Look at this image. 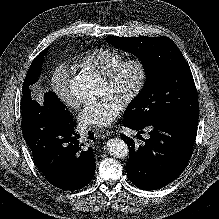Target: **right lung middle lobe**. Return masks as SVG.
Returning a JSON list of instances; mask_svg holds the SVG:
<instances>
[{
    "label": "right lung middle lobe",
    "instance_id": "right-lung-middle-lobe-1",
    "mask_svg": "<svg viewBox=\"0 0 219 219\" xmlns=\"http://www.w3.org/2000/svg\"><path fill=\"white\" fill-rule=\"evenodd\" d=\"M49 47H47L45 50H43L32 62L27 75L25 77L22 92L29 89V86L31 84H34L38 77L41 74L42 64H43V58L47 52ZM48 108L54 109L65 116H70V112L65 108V105L60 101V99L56 96L53 92H48L45 94L44 97V104Z\"/></svg>",
    "mask_w": 219,
    "mask_h": 219
}]
</instances>
